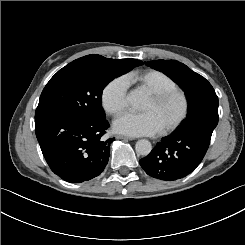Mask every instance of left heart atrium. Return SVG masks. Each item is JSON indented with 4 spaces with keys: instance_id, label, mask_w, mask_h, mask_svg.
I'll list each match as a JSON object with an SVG mask.
<instances>
[{
    "instance_id": "obj_1",
    "label": "left heart atrium",
    "mask_w": 245,
    "mask_h": 245,
    "mask_svg": "<svg viewBox=\"0 0 245 245\" xmlns=\"http://www.w3.org/2000/svg\"><path fill=\"white\" fill-rule=\"evenodd\" d=\"M114 128L119 133L139 136L158 133L161 124L152 112L147 111L140 114H126L118 118Z\"/></svg>"
}]
</instances>
